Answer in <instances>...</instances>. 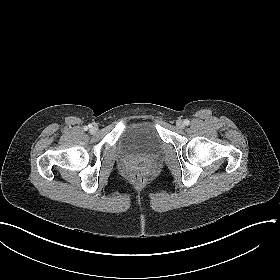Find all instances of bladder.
Here are the masks:
<instances>
[{"mask_svg": "<svg viewBox=\"0 0 280 280\" xmlns=\"http://www.w3.org/2000/svg\"><path fill=\"white\" fill-rule=\"evenodd\" d=\"M120 146L129 153L153 154L160 148V136L153 123L143 120L126 128Z\"/></svg>", "mask_w": 280, "mask_h": 280, "instance_id": "1", "label": "bladder"}]
</instances>
